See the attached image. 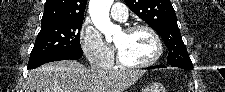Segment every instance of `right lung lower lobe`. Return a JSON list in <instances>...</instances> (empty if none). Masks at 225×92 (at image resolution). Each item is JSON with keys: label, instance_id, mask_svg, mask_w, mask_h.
Here are the masks:
<instances>
[{"label": "right lung lower lobe", "instance_id": "1", "mask_svg": "<svg viewBox=\"0 0 225 92\" xmlns=\"http://www.w3.org/2000/svg\"><path fill=\"white\" fill-rule=\"evenodd\" d=\"M83 51H63L59 53H53V54H48L45 56L29 59L28 63V69H34L39 67L42 64L52 62V61H59V60H67V59H72V60H77L82 57Z\"/></svg>", "mask_w": 225, "mask_h": 92}]
</instances>
